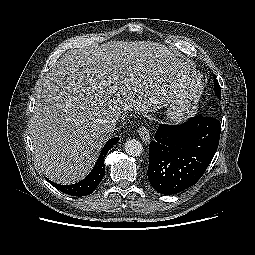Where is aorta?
<instances>
[{
  "mask_svg": "<svg viewBox=\"0 0 255 255\" xmlns=\"http://www.w3.org/2000/svg\"><path fill=\"white\" fill-rule=\"evenodd\" d=\"M125 151L130 156H140L143 152V146L136 139H129L125 143Z\"/></svg>",
  "mask_w": 255,
  "mask_h": 255,
  "instance_id": "obj_1",
  "label": "aorta"
}]
</instances>
